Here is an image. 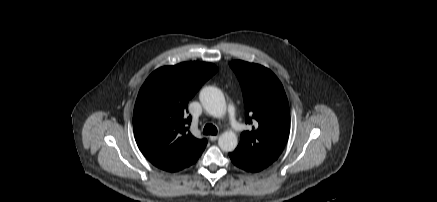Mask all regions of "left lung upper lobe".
<instances>
[{"label": "left lung upper lobe", "instance_id": "left-lung-upper-lobe-1", "mask_svg": "<svg viewBox=\"0 0 437 202\" xmlns=\"http://www.w3.org/2000/svg\"><path fill=\"white\" fill-rule=\"evenodd\" d=\"M243 92L246 123L235 151L268 167L282 153L290 131V111L284 88L274 73L259 64L235 60L229 63Z\"/></svg>", "mask_w": 437, "mask_h": 202}]
</instances>
